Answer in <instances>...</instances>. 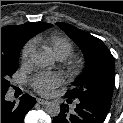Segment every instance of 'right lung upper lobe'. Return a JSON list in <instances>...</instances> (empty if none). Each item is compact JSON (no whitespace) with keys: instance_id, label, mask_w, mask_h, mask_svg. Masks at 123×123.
I'll return each instance as SVG.
<instances>
[{"instance_id":"1","label":"right lung upper lobe","mask_w":123,"mask_h":123,"mask_svg":"<svg viewBox=\"0 0 123 123\" xmlns=\"http://www.w3.org/2000/svg\"><path fill=\"white\" fill-rule=\"evenodd\" d=\"M52 25L44 22H32L23 25H9L1 28V52L11 53L21 50L22 46L38 32Z\"/></svg>"}]
</instances>
